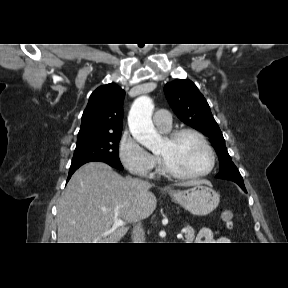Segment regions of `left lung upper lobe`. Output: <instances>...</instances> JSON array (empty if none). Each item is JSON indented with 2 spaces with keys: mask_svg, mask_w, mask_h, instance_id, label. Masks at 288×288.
I'll return each instance as SVG.
<instances>
[{
  "mask_svg": "<svg viewBox=\"0 0 288 288\" xmlns=\"http://www.w3.org/2000/svg\"><path fill=\"white\" fill-rule=\"evenodd\" d=\"M164 93L180 120L210 138L220 160V172L216 177L244 185L240 172L228 154L222 132L196 85L188 79H177L164 86Z\"/></svg>",
  "mask_w": 288,
  "mask_h": 288,
  "instance_id": "1",
  "label": "left lung upper lobe"
}]
</instances>
